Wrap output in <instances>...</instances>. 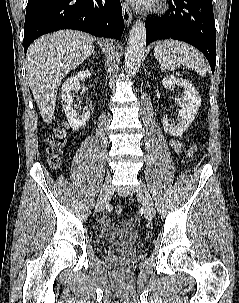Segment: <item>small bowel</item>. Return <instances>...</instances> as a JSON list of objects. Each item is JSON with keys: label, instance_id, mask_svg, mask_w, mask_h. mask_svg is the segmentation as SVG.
Returning a JSON list of instances; mask_svg holds the SVG:
<instances>
[{"label": "small bowel", "instance_id": "c3829d8e", "mask_svg": "<svg viewBox=\"0 0 239 303\" xmlns=\"http://www.w3.org/2000/svg\"><path fill=\"white\" fill-rule=\"evenodd\" d=\"M171 147L175 152H186L189 154V149L179 140H172ZM138 218L133 216L131 219L122 220L117 223H112L107 216H102L100 219L102 232L106 235L113 234L122 230H132L138 223L134 222V219ZM139 219V218H138Z\"/></svg>", "mask_w": 239, "mask_h": 303}]
</instances>
